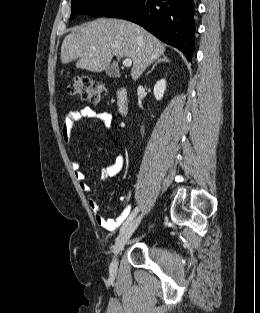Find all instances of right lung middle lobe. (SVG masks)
I'll return each instance as SVG.
<instances>
[{
    "mask_svg": "<svg viewBox=\"0 0 260 313\" xmlns=\"http://www.w3.org/2000/svg\"><path fill=\"white\" fill-rule=\"evenodd\" d=\"M125 0H71V19L87 14L94 17L104 16Z\"/></svg>",
    "mask_w": 260,
    "mask_h": 313,
    "instance_id": "obj_1",
    "label": "right lung middle lobe"
}]
</instances>
